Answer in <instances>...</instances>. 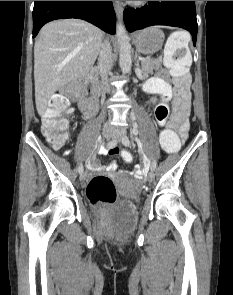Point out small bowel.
<instances>
[{"instance_id": "small-bowel-1", "label": "small bowel", "mask_w": 233, "mask_h": 295, "mask_svg": "<svg viewBox=\"0 0 233 295\" xmlns=\"http://www.w3.org/2000/svg\"><path fill=\"white\" fill-rule=\"evenodd\" d=\"M147 93L160 96V99L153 98L149 105L154 107V115L160 126L173 128L185 140L189 128L188 117L190 114L191 102L189 90L183 93H177L168 81L165 71L160 70L155 77L150 78L144 85ZM170 116V118H169ZM169 118V121H168ZM70 151H66L68 154ZM106 152L115 154L117 148H107ZM89 167L92 170L114 173L118 169L116 161H111L108 165L101 166L95 157H91ZM137 179H142L143 170L137 168L135 173Z\"/></svg>"}]
</instances>
